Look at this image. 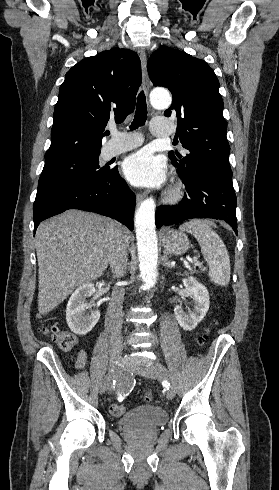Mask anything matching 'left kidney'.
<instances>
[{"mask_svg": "<svg viewBox=\"0 0 279 490\" xmlns=\"http://www.w3.org/2000/svg\"><path fill=\"white\" fill-rule=\"evenodd\" d=\"M182 282L185 286V292L192 298L194 310L184 312L183 304H178L174 308V314L180 328L186 332H191L198 326L199 322H202L209 310V292L203 284H199L192 276L185 278Z\"/></svg>", "mask_w": 279, "mask_h": 490, "instance_id": "5707ae66", "label": "left kidney"}]
</instances>
